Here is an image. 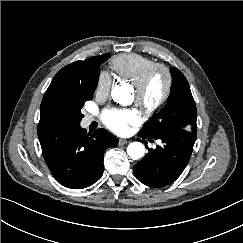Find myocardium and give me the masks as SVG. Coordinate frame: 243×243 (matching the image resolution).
Instances as JSON below:
<instances>
[{
  "instance_id": "f54148a6",
  "label": "myocardium",
  "mask_w": 243,
  "mask_h": 243,
  "mask_svg": "<svg viewBox=\"0 0 243 243\" xmlns=\"http://www.w3.org/2000/svg\"><path fill=\"white\" fill-rule=\"evenodd\" d=\"M161 71L165 76V86L162 93L153 101L146 99V91L152 75ZM174 78L171 69L163 63H154L148 67L133 84L135 101L145 115H151L159 110L170 98L173 90Z\"/></svg>"
}]
</instances>
